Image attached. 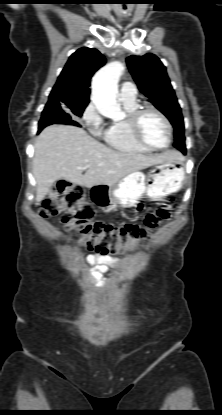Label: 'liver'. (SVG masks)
<instances>
[{
  "instance_id": "obj_1",
  "label": "liver",
  "mask_w": 222,
  "mask_h": 415,
  "mask_svg": "<svg viewBox=\"0 0 222 415\" xmlns=\"http://www.w3.org/2000/svg\"><path fill=\"white\" fill-rule=\"evenodd\" d=\"M181 157L176 150L154 155L120 152L98 142L81 128L50 125L39 134L35 143L33 174L37 183L36 204L61 178L87 188L110 186L133 172ZM86 165L91 166L83 175L81 168Z\"/></svg>"
}]
</instances>
